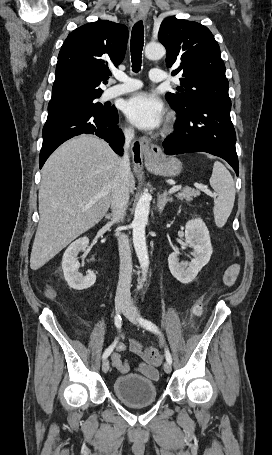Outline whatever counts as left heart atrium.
<instances>
[{
  "label": "left heart atrium",
  "instance_id": "left-heart-atrium-1",
  "mask_svg": "<svg viewBox=\"0 0 272 455\" xmlns=\"http://www.w3.org/2000/svg\"><path fill=\"white\" fill-rule=\"evenodd\" d=\"M123 110L129 121L142 130L155 129L163 121L164 108L161 101L145 92L130 97Z\"/></svg>",
  "mask_w": 272,
  "mask_h": 455
}]
</instances>
